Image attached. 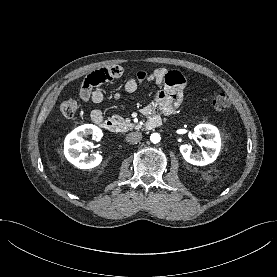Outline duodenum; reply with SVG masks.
<instances>
[{"instance_id": "duodenum-1", "label": "duodenum", "mask_w": 277, "mask_h": 277, "mask_svg": "<svg viewBox=\"0 0 277 277\" xmlns=\"http://www.w3.org/2000/svg\"><path fill=\"white\" fill-rule=\"evenodd\" d=\"M95 123V122H94ZM96 125H98L100 128L109 131L114 132L116 130L115 123L110 119H98L96 121ZM161 125V119L158 115H150L147 122H146V128L151 130Z\"/></svg>"}]
</instances>
